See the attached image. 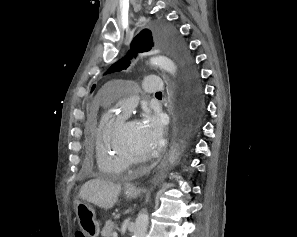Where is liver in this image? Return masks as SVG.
Segmentation results:
<instances>
[{"mask_svg":"<svg viewBox=\"0 0 297 237\" xmlns=\"http://www.w3.org/2000/svg\"><path fill=\"white\" fill-rule=\"evenodd\" d=\"M121 186L102 179L87 181L80 189L79 196L106 210L111 209L117 202Z\"/></svg>","mask_w":297,"mask_h":237,"instance_id":"1","label":"liver"}]
</instances>
